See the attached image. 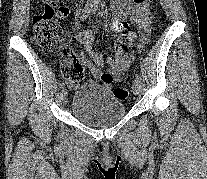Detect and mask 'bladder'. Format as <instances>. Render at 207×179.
<instances>
[{
  "mask_svg": "<svg viewBox=\"0 0 207 179\" xmlns=\"http://www.w3.org/2000/svg\"><path fill=\"white\" fill-rule=\"evenodd\" d=\"M71 110L81 122L103 127L120 120L125 104L114 92L93 82H84L74 93Z\"/></svg>",
  "mask_w": 207,
  "mask_h": 179,
  "instance_id": "bladder-1",
  "label": "bladder"
}]
</instances>
